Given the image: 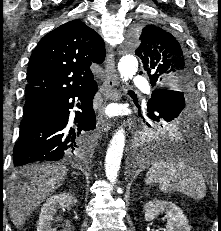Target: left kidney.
I'll use <instances>...</instances> for the list:
<instances>
[{
  "mask_svg": "<svg viewBox=\"0 0 221 231\" xmlns=\"http://www.w3.org/2000/svg\"><path fill=\"white\" fill-rule=\"evenodd\" d=\"M146 221H153L159 213H165L167 225L163 231H190L191 227L183 211L174 203L164 200L147 202L143 207Z\"/></svg>",
  "mask_w": 221,
  "mask_h": 231,
  "instance_id": "1",
  "label": "left kidney"
}]
</instances>
